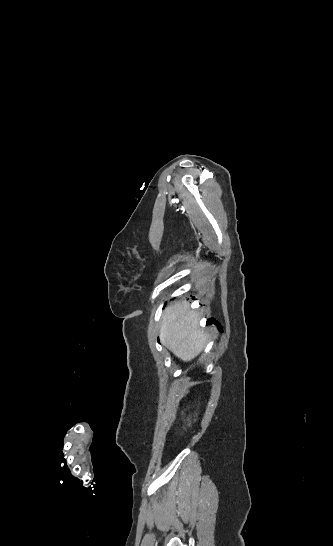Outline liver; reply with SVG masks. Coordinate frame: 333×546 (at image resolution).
<instances>
[{
	"label": "liver",
	"mask_w": 333,
	"mask_h": 546,
	"mask_svg": "<svg viewBox=\"0 0 333 546\" xmlns=\"http://www.w3.org/2000/svg\"><path fill=\"white\" fill-rule=\"evenodd\" d=\"M199 315L189 309L187 301L168 306L160 328V341L179 359L188 362L201 353L207 334L199 328Z\"/></svg>",
	"instance_id": "liver-1"
}]
</instances>
